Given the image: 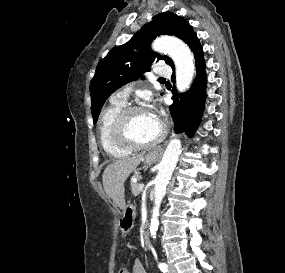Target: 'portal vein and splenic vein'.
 Here are the masks:
<instances>
[{
    "label": "portal vein and splenic vein",
    "mask_w": 285,
    "mask_h": 273,
    "mask_svg": "<svg viewBox=\"0 0 285 273\" xmlns=\"http://www.w3.org/2000/svg\"><path fill=\"white\" fill-rule=\"evenodd\" d=\"M144 189V184L139 185V190L142 191Z\"/></svg>",
    "instance_id": "obj_1"
}]
</instances>
